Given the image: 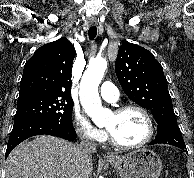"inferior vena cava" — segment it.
<instances>
[{
  "label": "inferior vena cava",
  "mask_w": 194,
  "mask_h": 178,
  "mask_svg": "<svg viewBox=\"0 0 194 178\" xmlns=\"http://www.w3.org/2000/svg\"><path fill=\"white\" fill-rule=\"evenodd\" d=\"M81 154L83 157H91V154L96 152L95 144L91 143L88 139L83 140L80 144Z\"/></svg>",
  "instance_id": "obj_1"
}]
</instances>
